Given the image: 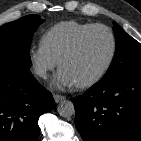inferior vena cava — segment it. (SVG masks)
Here are the masks:
<instances>
[{"label":"inferior vena cava","instance_id":"602c4592","mask_svg":"<svg viewBox=\"0 0 141 141\" xmlns=\"http://www.w3.org/2000/svg\"><path fill=\"white\" fill-rule=\"evenodd\" d=\"M46 72H47V69L43 66H37L35 68V73L37 75H39L40 77H45L46 76Z\"/></svg>","mask_w":141,"mask_h":141}]
</instances>
